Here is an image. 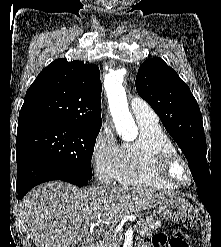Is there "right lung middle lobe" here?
<instances>
[{
  "label": "right lung middle lobe",
  "instance_id": "right-lung-middle-lobe-1",
  "mask_svg": "<svg viewBox=\"0 0 221 247\" xmlns=\"http://www.w3.org/2000/svg\"><path fill=\"white\" fill-rule=\"evenodd\" d=\"M99 130L73 123L18 128L16 145L50 158L74 175L90 180V166Z\"/></svg>",
  "mask_w": 221,
  "mask_h": 247
}]
</instances>
